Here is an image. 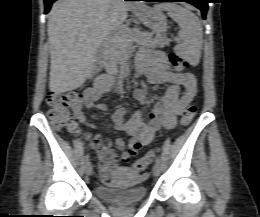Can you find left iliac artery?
I'll return each instance as SVG.
<instances>
[{
    "mask_svg": "<svg viewBox=\"0 0 260 217\" xmlns=\"http://www.w3.org/2000/svg\"><path fill=\"white\" fill-rule=\"evenodd\" d=\"M156 163L160 164L161 163V159L159 157L156 158Z\"/></svg>",
    "mask_w": 260,
    "mask_h": 217,
    "instance_id": "44dca946",
    "label": "left iliac artery"
}]
</instances>
